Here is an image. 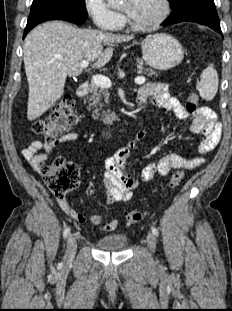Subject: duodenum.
Returning a JSON list of instances; mask_svg holds the SVG:
<instances>
[{
  "mask_svg": "<svg viewBox=\"0 0 232 311\" xmlns=\"http://www.w3.org/2000/svg\"><path fill=\"white\" fill-rule=\"evenodd\" d=\"M88 90H89V84L88 82L84 81L79 85L77 89V95L80 97H84L87 95ZM117 131H118L117 128H103L100 130V134L104 138H114L117 134Z\"/></svg>",
  "mask_w": 232,
  "mask_h": 311,
  "instance_id": "duodenum-1",
  "label": "duodenum"
}]
</instances>
